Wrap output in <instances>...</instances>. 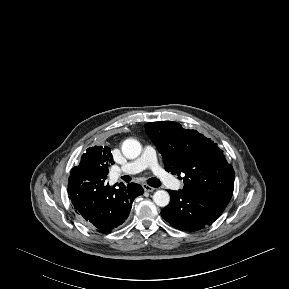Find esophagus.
Wrapping results in <instances>:
<instances>
[{
	"label": "esophagus",
	"mask_w": 289,
	"mask_h": 289,
	"mask_svg": "<svg viewBox=\"0 0 289 289\" xmlns=\"http://www.w3.org/2000/svg\"><path fill=\"white\" fill-rule=\"evenodd\" d=\"M142 187L147 192H153L155 190V188H153V187H151V186H149L147 184H143Z\"/></svg>",
	"instance_id": "34e87169"
}]
</instances>
